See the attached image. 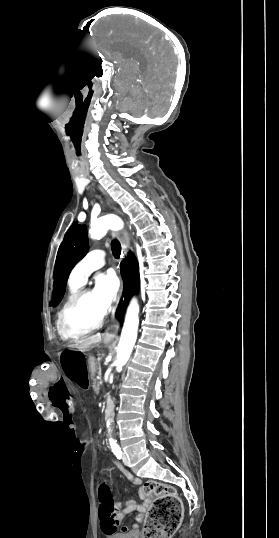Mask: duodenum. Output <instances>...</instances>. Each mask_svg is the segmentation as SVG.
Segmentation results:
<instances>
[{"mask_svg":"<svg viewBox=\"0 0 279 538\" xmlns=\"http://www.w3.org/2000/svg\"><path fill=\"white\" fill-rule=\"evenodd\" d=\"M91 372L93 374H96L98 372V366L96 364H93L91 366ZM114 402V399L112 397H109L107 400L105 401H102V406H105L107 409L105 410V413L108 415V417H111V413H112V408H113V405L112 403ZM108 428H113V423H108Z\"/></svg>","mask_w":279,"mask_h":538,"instance_id":"obj_1","label":"duodenum"}]
</instances>
